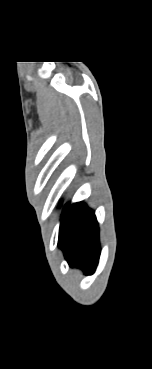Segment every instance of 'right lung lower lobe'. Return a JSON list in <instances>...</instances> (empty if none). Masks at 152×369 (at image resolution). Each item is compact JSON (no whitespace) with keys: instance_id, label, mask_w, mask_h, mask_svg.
<instances>
[{"instance_id":"98d812e1","label":"right lung lower lobe","mask_w":152,"mask_h":369,"mask_svg":"<svg viewBox=\"0 0 152 369\" xmlns=\"http://www.w3.org/2000/svg\"><path fill=\"white\" fill-rule=\"evenodd\" d=\"M58 245L71 267L86 274L95 271L100 256L99 228L94 212L82 202L66 207Z\"/></svg>"}]
</instances>
